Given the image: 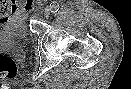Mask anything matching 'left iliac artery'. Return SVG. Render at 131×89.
<instances>
[{"instance_id":"obj_1","label":"left iliac artery","mask_w":131,"mask_h":89,"mask_svg":"<svg viewBox=\"0 0 131 89\" xmlns=\"http://www.w3.org/2000/svg\"><path fill=\"white\" fill-rule=\"evenodd\" d=\"M51 12H57L59 10V4L57 2H52L50 4Z\"/></svg>"}]
</instances>
